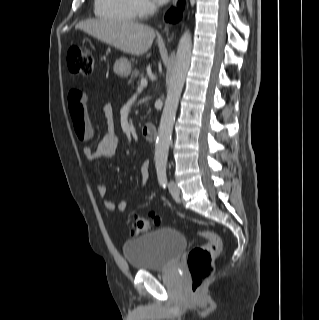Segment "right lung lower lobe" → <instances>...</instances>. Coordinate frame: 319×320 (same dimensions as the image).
I'll return each mask as SVG.
<instances>
[{"mask_svg":"<svg viewBox=\"0 0 319 320\" xmlns=\"http://www.w3.org/2000/svg\"><path fill=\"white\" fill-rule=\"evenodd\" d=\"M183 8V1L178 3V9H171L170 11H168V13L166 14V21L169 22H176L181 18L182 15V10Z\"/></svg>","mask_w":319,"mask_h":320,"instance_id":"obj_1","label":"right lung lower lobe"}]
</instances>
